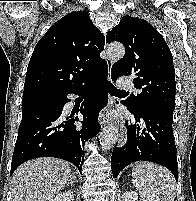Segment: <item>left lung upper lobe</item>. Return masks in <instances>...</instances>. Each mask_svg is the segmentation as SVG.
Segmentation results:
<instances>
[{"instance_id":"1","label":"left lung upper lobe","mask_w":196,"mask_h":201,"mask_svg":"<svg viewBox=\"0 0 196 201\" xmlns=\"http://www.w3.org/2000/svg\"><path fill=\"white\" fill-rule=\"evenodd\" d=\"M108 43L120 41L124 57L113 64L111 77L135 75L134 86L141 93L123 103L132 111L145 105H157L174 111L175 70L173 57L161 34L147 21L125 16L106 36Z\"/></svg>"}]
</instances>
